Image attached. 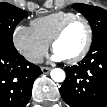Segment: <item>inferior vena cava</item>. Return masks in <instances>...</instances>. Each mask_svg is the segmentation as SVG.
Here are the masks:
<instances>
[{"label":"inferior vena cava","instance_id":"obj_1","mask_svg":"<svg viewBox=\"0 0 107 107\" xmlns=\"http://www.w3.org/2000/svg\"><path fill=\"white\" fill-rule=\"evenodd\" d=\"M28 61H30L31 63H34V64H39V63H42L43 62V57L41 55H31L29 58H28Z\"/></svg>","mask_w":107,"mask_h":107}]
</instances>
